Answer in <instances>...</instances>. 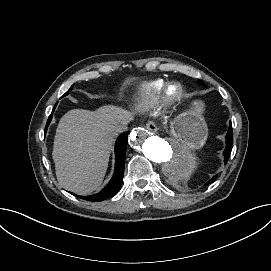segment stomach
Returning a JSON list of instances; mask_svg holds the SVG:
<instances>
[{
    "mask_svg": "<svg viewBox=\"0 0 271 271\" xmlns=\"http://www.w3.org/2000/svg\"><path fill=\"white\" fill-rule=\"evenodd\" d=\"M205 104L201 100L192 103L189 111L170 121V134L190 149H200L208 137V127L203 117Z\"/></svg>",
    "mask_w": 271,
    "mask_h": 271,
    "instance_id": "obj_1",
    "label": "stomach"
}]
</instances>
